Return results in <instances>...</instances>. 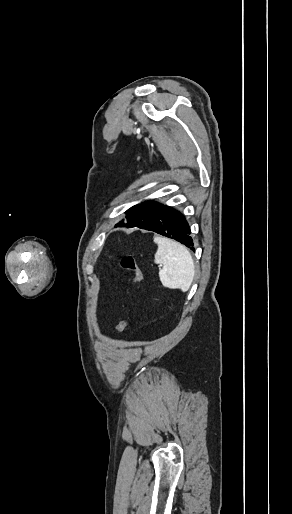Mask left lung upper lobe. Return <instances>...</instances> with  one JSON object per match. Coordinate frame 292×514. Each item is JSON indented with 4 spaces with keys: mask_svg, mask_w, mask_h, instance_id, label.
Masks as SVG:
<instances>
[{
    "mask_svg": "<svg viewBox=\"0 0 292 514\" xmlns=\"http://www.w3.org/2000/svg\"><path fill=\"white\" fill-rule=\"evenodd\" d=\"M164 208L163 204H158L154 201L137 204L125 212L127 214L126 223L120 221L115 227H126L128 225L129 227L145 229L157 219L164 211Z\"/></svg>",
    "mask_w": 292,
    "mask_h": 514,
    "instance_id": "left-lung-upper-lobe-1",
    "label": "left lung upper lobe"
}]
</instances>
